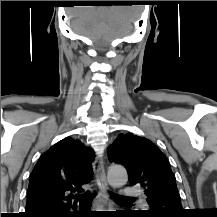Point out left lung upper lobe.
Masks as SVG:
<instances>
[{"instance_id": "left-lung-upper-lobe-1", "label": "left lung upper lobe", "mask_w": 217, "mask_h": 217, "mask_svg": "<svg viewBox=\"0 0 217 217\" xmlns=\"http://www.w3.org/2000/svg\"><path fill=\"white\" fill-rule=\"evenodd\" d=\"M111 162L124 165L131 185L144 188L154 217H178L183 213L176 179L161 150L150 140L132 133L120 134L109 147Z\"/></svg>"}]
</instances>
